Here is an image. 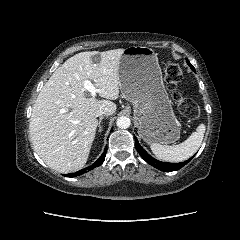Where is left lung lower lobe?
Here are the masks:
<instances>
[{
    "mask_svg": "<svg viewBox=\"0 0 240 240\" xmlns=\"http://www.w3.org/2000/svg\"><path fill=\"white\" fill-rule=\"evenodd\" d=\"M135 146L139 152V154L141 155V157L150 165L154 166L155 168L167 172V171H176L180 168H182L185 164H187L192 158H190L189 160L185 161V162H181V163H167V162H161L158 161L156 159H154L153 157H151L139 144L137 138L135 137Z\"/></svg>",
    "mask_w": 240,
    "mask_h": 240,
    "instance_id": "obj_1",
    "label": "left lung lower lobe"
}]
</instances>
